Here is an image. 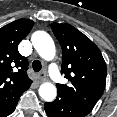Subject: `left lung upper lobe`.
<instances>
[{"instance_id": "left-lung-upper-lobe-1", "label": "left lung upper lobe", "mask_w": 117, "mask_h": 117, "mask_svg": "<svg viewBox=\"0 0 117 117\" xmlns=\"http://www.w3.org/2000/svg\"><path fill=\"white\" fill-rule=\"evenodd\" d=\"M51 28L62 47L61 73L70 82L57 84L58 94L91 112L105 88L103 56L99 48L73 26L52 23Z\"/></svg>"}]
</instances>
